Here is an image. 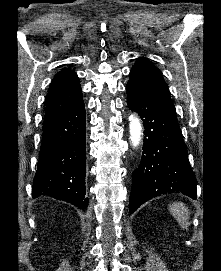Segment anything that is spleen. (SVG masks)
I'll list each match as a JSON object with an SVG mask.
<instances>
[{"label": "spleen", "instance_id": "obj_1", "mask_svg": "<svg viewBox=\"0 0 221 271\" xmlns=\"http://www.w3.org/2000/svg\"><path fill=\"white\" fill-rule=\"evenodd\" d=\"M169 211H171L173 217L177 219L180 227L188 229L190 225V209H188L186 203H182V201H174V203L170 205Z\"/></svg>", "mask_w": 221, "mask_h": 271}]
</instances>
